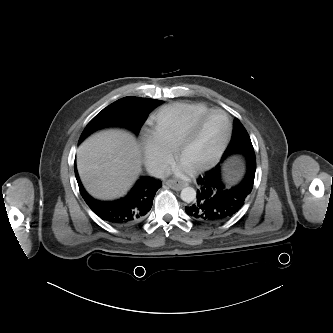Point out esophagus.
<instances>
[{"mask_svg":"<svg viewBox=\"0 0 333 333\" xmlns=\"http://www.w3.org/2000/svg\"><path fill=\"white\" fill-rule=\"evenodd\" d=\"M166 185L168 187H170L173 190L179 191L181 190L183 187L187 186V183L181 182V181H173V180H169L166 182Z\"/></svg>","mask_w":333,"mask_h":333,"instance_id":"1","label":"esophagus"}]
</instances>
